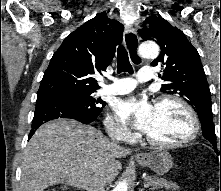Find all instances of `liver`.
<instances>
[{"instance_id": "1", "label": "liver", "mask_w": 221, "mask_h": 191, "mask_svg": "<svg viewBox=\"0 0 221 191\" xmlns=\"http://www.w3.org/2000/svg\"><path fill=\"white\" fill-rule=\"evenodd\" d=\"M131 153L92 126L71 119L47 122L24 150L21 191H44L64 182L89 190L99 179L110 184L122 169L118 158Z\"/></svg>"}]
</instances>
